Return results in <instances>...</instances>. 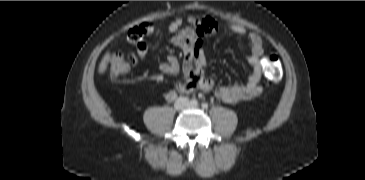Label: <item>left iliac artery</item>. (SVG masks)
<instances>
[{
    "instance_id": "left-iliac-artery-1",
    "label": "left iliac artery",
    "mask_w": 365,
    "mask_h": 180,
    "mask_svg": "<svg viewBox=\"0 0 365 180\" xmlns=\"http://www.w3.org/2000/svg\"><path fill=\"white\" fill-rule=\"evenodd\" d=\"M202 108L203 109H207L208 108V104L207 103H202Z\"/></svg>"
}]
</instances>
